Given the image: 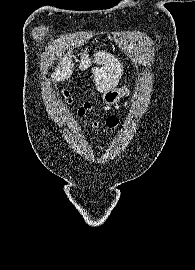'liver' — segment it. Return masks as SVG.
I'll return each mask as SVG.
<instances>
[{
  "label": "liver",
  "instance_id": "1",
  "mask_svg": "<svg viewBox=\"0 0 195 270\" xmlns=\"http://www.w3.org/2000/svg\"><path fill=\"white\" fill-rule=\"evenodd\" d=\"M96 63L97 67H92L93 81L96 89L100 93H104L110 89H114L121 79L123 74L122 64L120 61L106 51H100L94 54V59L89 58L87 49L81 54L79 61V68L86 70ZM61 68H56L54 79L56 81H63L73 74V62L67 56L62 58L60 62Z\"/></svg>",
  "mask_w": 195,
  "mask_h": 270
}]
</instances>
